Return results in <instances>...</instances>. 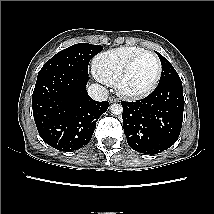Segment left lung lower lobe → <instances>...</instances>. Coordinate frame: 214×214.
I'll return each instance as SVG.
<instances>
[{
  "mask_svg": "<svg viewBox=\"0 0 214 214\" xmlns=\"http://www.w3.org/2000/svg\"><path fill=\"white\" fill-rule=\"evenodd\" d=\"M121 105L124 133L135 151L153 155L177 141L184 111L181 79L159 83L146 98Z\"/></svg>",
  "mask_w": 214,
  "mask_h": 214,
  "instance_id": "left-lung-lower-lobe-1",
  "label": "left lung lower lobe"
}]
</instances>
